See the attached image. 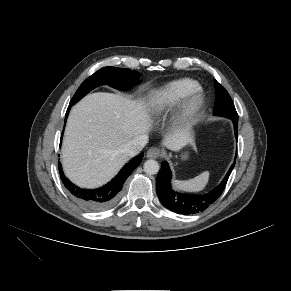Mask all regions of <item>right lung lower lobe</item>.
<instances>
[{"label": "right lung lower lobe", "instance_id": "1", "mask_svg": "<svg viewBox=\"0 0 291 291\" xmlns=\"http://www.w3.org/2000/svg\"><path fill=\"white\" fill-rule=\"evenodd\" d=\"M70 108L71 106H69L67 109L65 122ZM143 155L144 154L141 153L134 157L108 184L97 189L80 188L70 182L69 179L65 177L60 162L58 163L59 173L64 186L81 206L90 211H101L109 208L115 203L120 195V191L123 188V184L126 178L141 163Z\"/></svg>", "mask_w": 291, "mask_h": 291}]
</instances>
